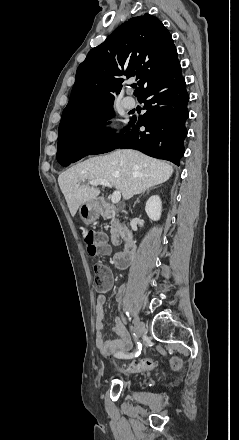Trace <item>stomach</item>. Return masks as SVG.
Masks as SVG:
<instances>
[{
  "instance_id": "1",
  "label": "stomach",
  "mask_w": 239,
  "mask_h": 440,
  "mask_svg": "<svg viewBox=\"0 0 239 440\" xmlns=\"http://www.w3.org/2000/svg\"><path fill=\"white\" fill-rule=\"evenodd\" d=\"M102 212V204L99 200H89L84 202L79 208V214L84 224H92L97 218H99Z\"/></svg>"
}]
</instances>
